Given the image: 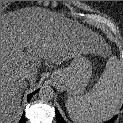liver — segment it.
I'll return each mask as SVG.
<instances>
[{"mask_svg": "<svg viewBox=\"0 0 123 123\" xmlns=\"http://www.w3.org/2000/svg\"><path fill=\"white\" fill-rule=\"evenodd\" d=\"M102 39L43 9H25L1 18V123H15L26 71L35 84L41 60L60 65L76 54L100 53ZM26 49V52L24 51Z\"/></svg>", "mask_w": 123, "mask_h": 123, "instance_id": "1", "label": "liver"}]
</instances>
